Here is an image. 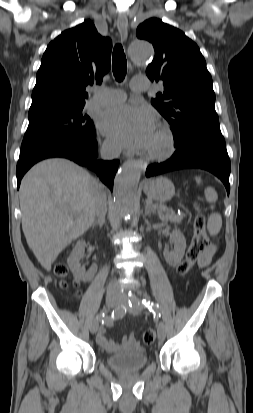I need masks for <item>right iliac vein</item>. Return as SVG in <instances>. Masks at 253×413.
I'll return each mask as SVG.
<instances>
[{
  "label": "right iliac vein",
  "mask_w": 253,
  "mask_h": 413,
  "mask_svg": "<svg viewBox=\"0 0 253 413\" xmlns=\"http://www.w3.org/2000/svg\"><path fill=\"white\" fill-rule=\"evenodd\" d=\"M119 303V298L115 293H107L106 295V305L108 308L115 307ZM99 327V321L94 320L90 326V331L92 334H95Z\"/></svg>",
  "instance_id": "obj_1"
}]
</instances>
